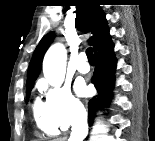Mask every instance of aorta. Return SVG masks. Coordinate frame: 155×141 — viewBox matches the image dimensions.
I'll use <instances>...</instances> for the list:
<instances>
[{
	"instance_id": "aorta-1",
	"label": "aorta",
	"mask_w": 155,
	"mask_h": 141,
	"mask_svg": "<svg viewBox=\"0 0 155 141\" xmlns=\"http://www.w3.org/2000/svg\"><path fill=\"white\" fill-rule=\"evenodd\" d=\"M67 53L63 44L56 43L46 52L43 74L52 86H60L65 78Z\"/></svg>"
}]
</instances>
